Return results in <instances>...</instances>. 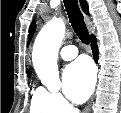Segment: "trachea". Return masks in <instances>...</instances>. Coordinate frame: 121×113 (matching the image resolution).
<instances>
[{
	"label": "trachea",
	"instance_id": "1",
	"mask_svg": "<svg viewBox=\"0 0 121 113\" xmlns=\"http://www.w3.org/2000/svg\"><path fill=\"white\" fill-rule=\"evenodd\" d=\"M66 12L68 14L70 23L79 37V39L86 45L90 42L88 29L84 22L83 14L80 11L77 0H63Z\"/></svg>",
	"mask_w": 121,
	"mask_h": 113
}]
</instances>
